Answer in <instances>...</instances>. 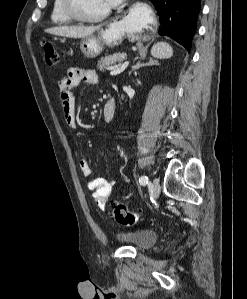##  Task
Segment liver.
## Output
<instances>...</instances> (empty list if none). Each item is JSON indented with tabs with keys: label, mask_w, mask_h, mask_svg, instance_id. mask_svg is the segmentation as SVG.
Here are the masks:
<instances>
[{
	"label": "liver",
	"mask_w": 247,
	"mask_h": 299,
	"mask_svg": "<svg viewBox=\"0 0 247 299\" xmlns=\"http://www.w3.org/2000/svg\"><path fill=\"white\" fill-rule=\"evenodd\" d=\"M100 28L97 26H58L45 30V32L61 37L85 38L92 35Z\"/></svg>",
	"instance_id": "6515ba94"
}]
</instances>
